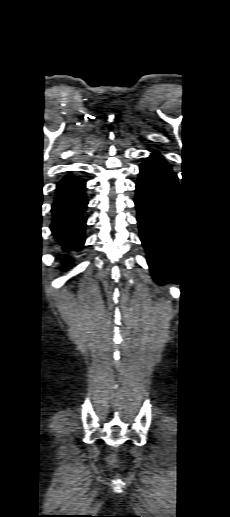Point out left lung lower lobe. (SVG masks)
Segmentation results:
<instances>
[{"label": "left lung lower lobe", "mask_w": 230, "mask_h": 517, "mask_svg": "<svg viewBox=\"0 0 230 517\" xmlns=\"http://www.w3.org/2000/svg\"><path fill=\"white\" fill-rule=\"evenodd\" d=\"M178 191L170 165L154 152L140 166L134 202L147 262L159 283L178 280Z\"/></svg>", "instance_id": "obj_1"}]
</instances>
